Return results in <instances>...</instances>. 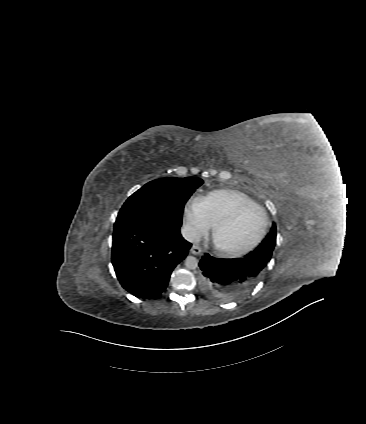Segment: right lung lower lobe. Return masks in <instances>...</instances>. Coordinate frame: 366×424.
Instances as JSON below:
<instances>
[{
	"label": "right lung lower lobe",
	"mask_w": 366,
	"mask_h": 424,
	"mask_svg": "<svg viewBox=\"0 0 366 424\" xmlns=\"http://www.w3.org/2000/svg\"><path fill=\"white\" fill-rule=\"evenodd\" d=\"M191 246L178 229L156 220L115 223L112 264L124 289L138 298H152L165 290Z\"/></svg>",
	"instance_id": "1"
}]
</instances>
